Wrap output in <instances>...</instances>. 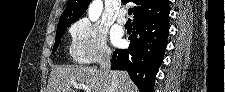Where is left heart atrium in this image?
<instances>
[{
    "instance_id": "left-heart-atrium-1",
    "label": "left heart atrium",
    "mask_w": 225,
    "mask_h": 92,
    "mask_svg": "<svg viewBox=\"0 0 225 92\" xmlns=\"http://www.w3.org/2000/svg\"><path fill=\"white\" fill-rule=\"evenodd\" d=\"M113 40H114L115 43H119L120 37H119V35L117 33L113 34Z\"/></svg>"
}]
</instances>
